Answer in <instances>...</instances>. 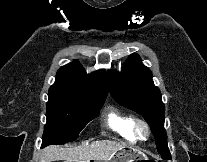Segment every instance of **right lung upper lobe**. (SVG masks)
Segmentation results:
<instances>
[{"mask_svg": "<svg viewBox=\"0 0 207 162\" xmlns=\"http://www.w3.org/2000/svg\"><path fill=\"white\" fill-rule=\"evenodd\" d=\"M49 93L77 97L106 98L108 94L107 74L104 70L87 75L78 61L62 66Z\"/></svg>", "mask_w": 207, "mask_h": 162, "instance_id": "1", "label": "right lung upper lobe"}]
</instances>
